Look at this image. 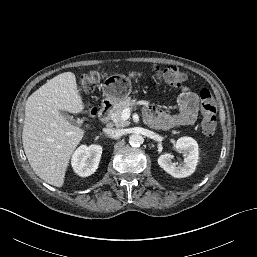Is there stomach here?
Here are the masks:
<instances>
[{
	"label": "stomach",
	"mask_w": 257,
	"mask_h": 257,
	"mask_svg": "<svg viewBox=\"0 0 257 257\" xmlns=\"http://www.w3.org/2000/svg\"><path fill=\"white\" fill-rule=\"evenodd\" d=\"M104 100V105H116L121 100L127 98L130 94V82L127 80L114 81V79H109L102 88Z\"/></svg>",
	"instance_id": "0dacf381"
}]
</instances>
